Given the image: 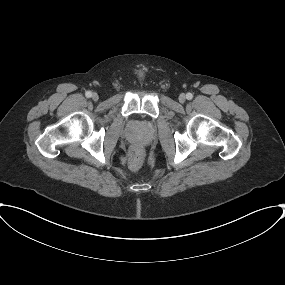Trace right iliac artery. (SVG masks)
Instances as JSON below:
<instances>
[{
	"label": "right iliac artery",
	"instance_id": "obj_1",
	"mask_svg": "<svg viewBox=\"0 0 285 285\" xmlns=\"http://www.w3.org/2000/svg\"><path fill=\"white\" fill-rule=\"evenodd\" d=\"M85 96H86L87 98H90V97L92 96L91 91H87V92L85 93Z\"/></svg>",
	"mask_w": 285,
	"mask_h": 285
}]
</instances>
